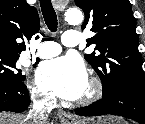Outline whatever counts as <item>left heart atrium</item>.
<instances>
[{"label":"left heart atrium","mask_w":145,"mask_h":124,"mask_svg":"<svg viewBox=\"0 0 145 124\" xmlns=\"http://www.w3.org/2000/svg\"><path fill=\"white\" fill-rule=\"evenodd\" d=\"M37 81L60 98L79 99L88 83L83 62L74 56L59 57L40 65Z\"/></svg>","instance_id":"39dd6f15"}]
</instances>
